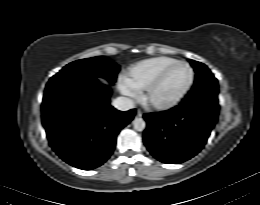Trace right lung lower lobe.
<instances>
[{
  "mask_svg": "<svg viewBox=\"0 0 260 205\" xmlns=\"http://www.w3.org/2000/svg\"><path fill=\"white\" fill-rule=\"evenodd\" d=\"M94 77L51 78L42 102V123L50 146L70 165L84 170L102 165L112 154L116 137L135 110L110 105L111 90Z\"/></svg>",
  "mask_w": 260,
  "mask_h": 205,
  "instance_id": "1",
  "label": "right lung lower lobe"
}]
</instances>
